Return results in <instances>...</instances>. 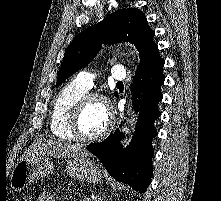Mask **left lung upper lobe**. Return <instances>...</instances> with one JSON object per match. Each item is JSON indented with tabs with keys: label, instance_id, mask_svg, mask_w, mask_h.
<instances>
[{
	"label": "left lung upper lobe",
	"instance_id": "left-lung-upper-lobe-1",
	"mask_svg": "<svg viewBox=\"0 0 221 201\" xmlns=\"http://www.w3.org/2000/svg\"><path fill=\"white\" fill-rule=\"evenodd\" d=\"M154 34L144 13L137 8L121 9L107 15L101 22L83 30L69 45L56 86L91 62L102 44L122 41L134 44L140 55L136 74L139 73L159 56Z\"/></svg>",
	"mask_w": 221,
	"mask_h": 201
}]
</instances>
